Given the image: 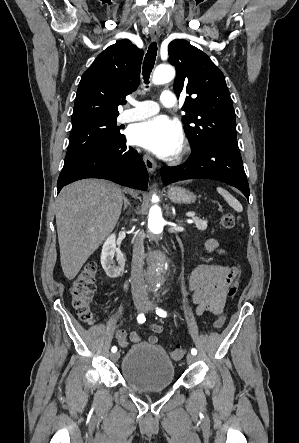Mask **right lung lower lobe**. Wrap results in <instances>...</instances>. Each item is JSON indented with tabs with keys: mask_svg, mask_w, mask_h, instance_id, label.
<instances>
[{
	"mask_svg": "<svg viewBox=\"0 0 299 443\" xmlns=\"http://www.w3.org/2000/svg\"><path fill=\"white\" fill-rule=\"evenodd\" d=\"M84 178H101L120 185L146 190L148 174L139 153L126 145V138L96 149L63 167L58 193L67 184Z\"/></svg>",
	"mask_w": 299,
	"mask_h": 443,
	"instance_id": "obj_1",
	"label": "right lung lower lobe"
}]
</instances>
